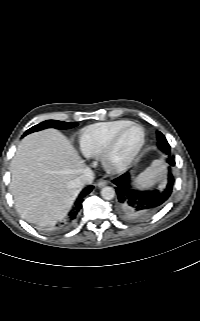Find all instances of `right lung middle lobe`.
Masks as SVG:
<instances>
[{"mask_svg":"<svg viewBox=\"0 0 200 321\" xmlns=\"http://www.w3.org/2000/svg\"><path fill=\"white\" fill-rule=\"evenodd\" d=\"M78 124L73 122H63V121H57V120H47L44 121L38 125L33 126L32 128L28 129L24 135L26 136L29 133L40 131L45 128H56V129H70L73 127H76Z\"/></svg>","mask_w":200,"mask_h":321,"instance_id":"dd1d6c3e","label":"right lung middle lobe"}]
</instances>
